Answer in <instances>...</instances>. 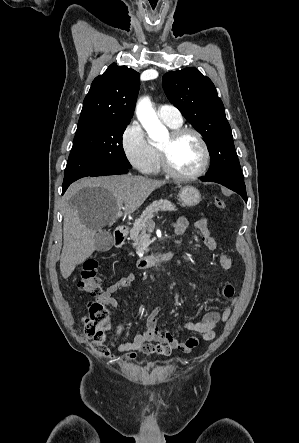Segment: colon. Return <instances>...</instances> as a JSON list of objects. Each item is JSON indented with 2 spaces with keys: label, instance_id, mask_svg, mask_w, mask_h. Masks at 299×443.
<instances>
[{
  "label": "colon",
  "instance_id": "colon-1",
  "mask_svg": "<svg viewBox=\"0 0 299 443\" xmlns=\"http://www.w3.org/2000/svg\"><path fill=\"white\" fill-rule=\"evenodd\" d=\"M215 208L219 211L227 209V202L223 199L215 200ZM98 264L94 260L86 261L78 280L79 289L89 295H97L101 292V279L98 275ZM110 326L109 313L103 304L91 302L88 305V314L84 321L86 335L93 341L98 352L107 355L105 342L107 331Z\"/></svg>",
  "mask_w": 299,
  "mask_h": 443
}]
</instances>
